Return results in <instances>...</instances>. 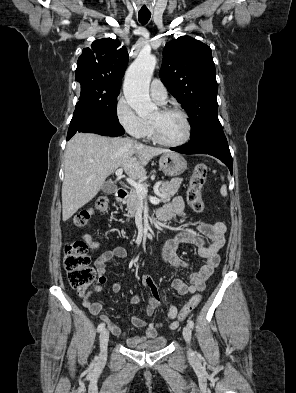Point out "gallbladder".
Here are the masks:
<instances>
[{
	"label": "gallbladder",
	"mask_w": 296,
	"mask_h": 393,
	"mask_svg": "<svg viewBox=\"0 0 296 393\" xmlns=\"http://www.w3.org/2000/svg\"><path fill=\"white\" fill-rule=\"evenodd\" d=\"M116 190H117V186L111 182H105L104 185L102 186V191L106 194L115 193Z\"/></svg>",
	"instance_id": "bac80fb5"
}]
</instances>
